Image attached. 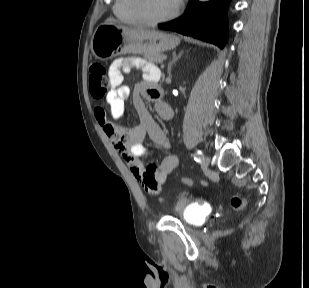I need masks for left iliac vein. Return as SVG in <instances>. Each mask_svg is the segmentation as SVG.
Here are the masks:
<instances>
[{"label": "left iliac vein", "instance_id": "4c4485c4", "mask_svg": "<svg viewBox=\"0 0 309 288\" xmlns=\"http://www.w3.org/2000/svg\"><path fill=\"white\" fill-rule=\"evenodd\" d=\"M209 162H210L209 157H204V158H203V160H202V162H201V167H202L203 170L208 169Z\"/></svg>", "mask_w": 309, "mask_h": 288}]
</instances>
